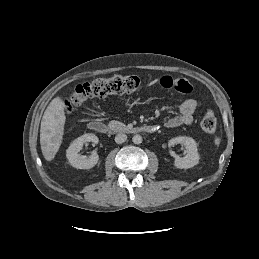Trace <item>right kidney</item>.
Returning <instances> with one entry per match:
<instances>
[{"mask_svg": "<svg viewBox=\"0 0 259 259\" xmlns=\"http://www.w3.org/2000/svg\"><path fill=\"white\" fill-rule=\"evenodd\" d=\"M99 141L98 137L94 134H84L77 139H75L67 149L66 157L69 160L71 166L77 169H91L93 168L99 161V156L96 151L92 152L91 156H85L79 154L82 149L84 143L92 142L93 144H97Z\"/></svg>", "mask_w": 259, "mask_h": 259, "instance_id": "ca27d5eb", "label": "right kidney"}]
</instances>
